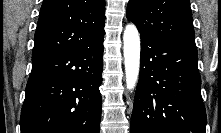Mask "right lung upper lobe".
<instances>
[{
	"instance_id": "obj_1",
	"label": "right lung upper lobe",
	"mask_w": 221,
	"mask_h": 133,
	"mask_svg": "<svg viewBox=\"0 0 221 133\" xmlns=\"http://www.w3.org/2000/svg\"><path fill=\"white\" fill-rule=\"evenodd\" d=\"M105 0H44L32 57L75 49L104 32Z\"/></svg>"
}]
</instances>
